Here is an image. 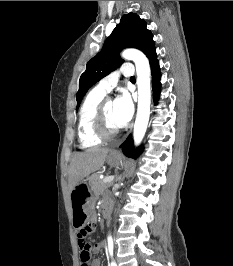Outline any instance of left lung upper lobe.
Masks as SVG:
<instances>
[{
    "label": "left lung upper lobe",
    "instance_id": "left-lung-upper-lobe-1",
    "mask_svg": "<svg viewBox=\"0 0 233 266\" xmlns=\"http://www.w3.org/2000/svg\"><path fill=\"white\" fill-rule=\"evenodd\" d=\"M128 47L140 49L144 54L155 47L153 35L146 28V22L135 13L121 17L120 23L106 39L102 50L87 63L79 80L77 108L90 87L121 65L123 61L119 53Z\"/></svg>",
    "mask_w": 233,
    "mask_h": 266
}]
</instances>
